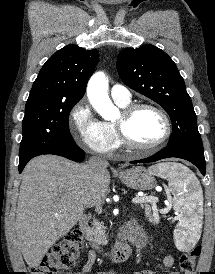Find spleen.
I'll use <instances>...</instances> for the list:
<instances>
[{
  "label": "spleen",
  "instance_id": "obj_1",
  "mask_svg": "<svg viewBox=\"0 0 215 274\" xmlns=\"http://www.w3.org/2000/svg\"><path fill=\"white\" fill-rule=\"evenodd\" d=\"M149 171L169 181L174 210L180 214L174 230L176 244L182 245L185 240L194 244L202 227L203 193L198 179L186 166L178 163H160Z\"/></svg>",
  "mask_w": 215,
  "mask_h": 274
}]
</instances>
